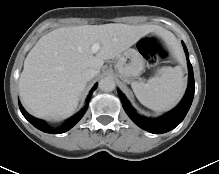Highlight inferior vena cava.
<instances>
[{
    "mask_svg": "<svg viewBox=\"0 0 219 174\" xmlns=\"http://www.w3.org/2000/svg\"><path fill=\"white\" fill-rule=\"evenodd\" d=\"M97 75V71L93 68H88L83 72V78L86 81H90Z\"/></svg>",
    "mask_w": 219,
    "mask_h": 174,
    "instance_id": "602c4592",
    "label": "inferior vena cava"
}]
</instances>
